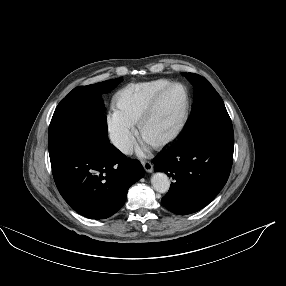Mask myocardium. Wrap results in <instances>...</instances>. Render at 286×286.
<instances>
[{
    "label": "myocardium",
    "mask_w": 286,
    "mask_h": 286,
    "mask_svg": "<svg viewBox=\"0 0 286 286\" xmlns=\"http://www.w3.org/2000/svg\"><path fill=\"white\" fill-rule=\"evenodd\" d=\"M173 88H181L183 90V93H184L183 111H182L181 117L179 119V122L177 123V125L174 127V129L168 135H166L164 138H162L161 140H159L157 142L150 143L151 146L157 150L165 149L168 146H170L172 143H174L175 140L179 137V135L182 133L183 129L186 126V123L188 121L189 114H190V96H189L187 88L181 83H171L168 86L161 89L147 104L146 108L144 109V111L141 114V116L138 120V123H137L139 133H140L141 137L144 138V132L143 131H144V127H145L146 123L152 117V115H153L158 103L162 99V97L168 91H170Z\"/></svg>",
    "instance_id": "1"
}]
</instances>
